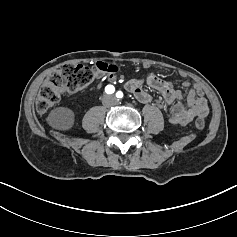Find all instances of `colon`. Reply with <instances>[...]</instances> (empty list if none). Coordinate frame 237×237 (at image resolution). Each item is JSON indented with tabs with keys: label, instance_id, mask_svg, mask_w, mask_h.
Here are the masks:
<instances>
[{
	"label": "colon",
	"instance_id": "obj_1",
	"mask_svg": "<svg viewBox=\"0 0 237 237\" xmlns=\"http://www.w3.org/2000/svg\"><path fill=\"white\" fill-rule=\"evenodd\" d=\"M119 67L105 61H98L92 67L76 64H64L54 69L39 90L36 109L40 113L59 103L64 92H77L88 86L94 78L116 77ZM198 130H203L205 121L202 117L195 120Z\"/></svg>",
	"mask_w": 237,
	"mask_h": 237
}]
</instances>
